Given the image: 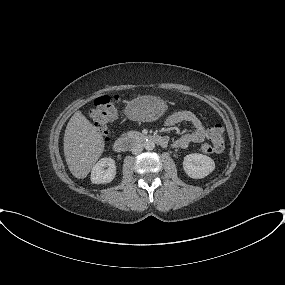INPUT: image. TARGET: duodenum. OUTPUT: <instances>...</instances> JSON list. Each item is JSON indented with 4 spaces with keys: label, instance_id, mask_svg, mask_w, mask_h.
<instances>
[{
    "label": "duodenum",
    "instance_id": "410a0bca",
    "mask_svg": "<svg viewBox=\"0 0 285 285\" xmlns=\"http://www.w3.org/2000/svg\"><path fill=\"white\" fill-rule=\"evenodd\" d=\"M143 141L149 139L150 141H154L158 145L165 147L168 145V139L165 136L160 135H150V136H142L140 138ZM134 145V140L129 137H119L113 143V149L116 152H125L129 150Z\"/></svg>",
    "mask_w": 285,
    "mask_h": 285
}]
</instances>
